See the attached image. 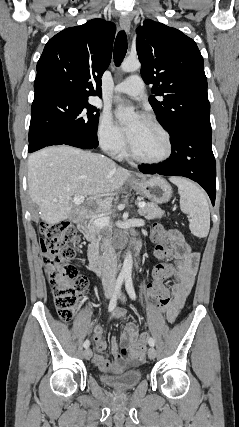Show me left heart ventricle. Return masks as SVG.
I'll return each instance as SVG.
<instances>
[{
	"mask_svg": "<svg viewBox=\"0 0 239 427\" xmlns=\"http://www.w3.org/2000/svg\"><path fill=\"white\" fill-rule=\"evenodd\" d=\"M129 127L133 128L129 142L138 155L147 159H157L165 154L166 139L156 127L143 118L133 119Z\"/></svg>",
	"mask_w": 239,
	"mask_h": 427,
	"instance_id": "obj_1",
	"label": "left heart ventricle"
}]
</instances>
